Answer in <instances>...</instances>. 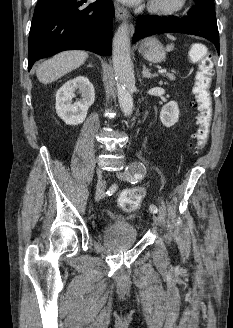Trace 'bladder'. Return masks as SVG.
I'll use <instances>...</instances> for the list:
<instances>
[{"instance_id": "bladder-1", "label": "bladder", "mask_w": 233, "mask_h": 328, "mask_svg": "<svg viewBox=\"0 0 233 328\" xmlns=\"http://www.w3.org/2000/svg\"><path fill=\"white\" fill-rule=\"evenodd\" d=\"M116 225L121 228L126 234L131 237L133 242L136 241L137 235L134 227L130 225L129 221L124 217H119L116 221Z\"/></svg>"}]
</instances>
